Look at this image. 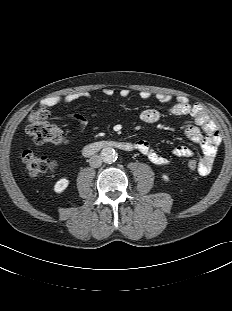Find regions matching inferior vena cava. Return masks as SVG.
<instances>
[{"instance_id":"inferior-vena-cava-1","label":"inferior vena cava","mask_w":232,"mask_h":311,"mask_svg":"<svg viewBox=\"0 0 232 311\" xmlns=\"http://www.w3.org/2000/svg\"><path fill=\"white\" fill-rule=\"evenodd\" d=\"M89 164L93 168H98L102 165V157L99 155H93L89 159Z\"/></svg>"}]
</instances>
